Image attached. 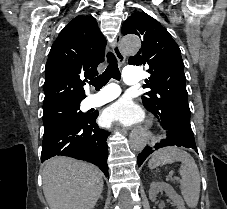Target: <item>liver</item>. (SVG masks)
I'll use <instances>...</instances> for the list:
<instances>
[{"mask_svg":"<svg viewBox=\"0 0 227 209\" xmlns=\"http://www.w3.org/2000/svg\"><path fill=\"white\" fill-rule=\"evenodd\" d=\"M42 183L50 209H94L104 185L98 167L69 157L46 161Z\"/></svg>","mask_w":227,"mask_h":209,"instance_id":"liver-1","label":"liver"}]
</instances>
